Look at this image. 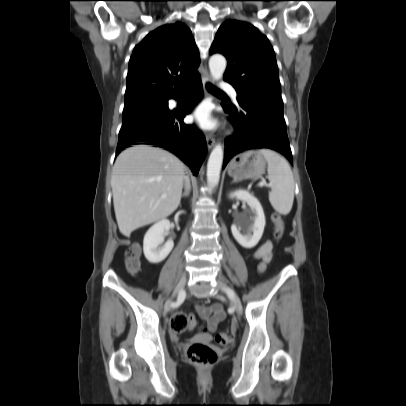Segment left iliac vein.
I'll list each match as a JSON object with an SVG mask.
<instances>
[{
	"label": "left iliac vein",
	"instance_id": "left-iliac-vein-1",
	"mask_svg": "<svg viewBox=\"0 0 406 406\" xmlns=\"http://www.w3.org/2000/svg\"><path fill=\"white\" fill-rule=\"evenodd\" d=\"M218 287L227 294L232 307L236 310L238 315H241L242 311H243L242 303H241L239 297L236 295V293L231 288H229L226 284L219 283Z\"/></svg>",
	"mask_w": 406,
	"mask_h": 406
}]
</instances>
